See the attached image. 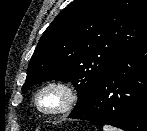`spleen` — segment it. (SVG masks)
Returning a JSON list of instances; mask_svg holds the SVG:
<instances>
[{"mask_svg":"<svg viewBox=\"0 0 147 131\" xmlns=\"http://www.w3.org/2000/svg\"><path fill=\"white\" fill-rule=\"evenodd\" d=\"M103 131H120L117 128L113 127V126H109V125H104L103 126Z\"/></svg>","mask_w":147,"mask_h":131,"instance_id":"1","label":"spleen"}]
</instances>
